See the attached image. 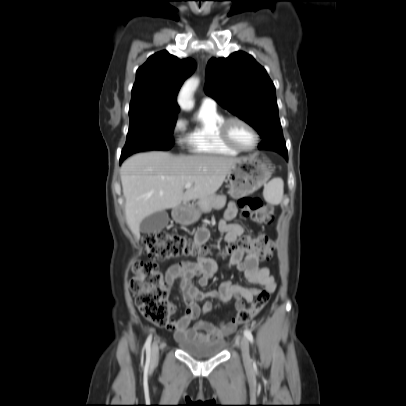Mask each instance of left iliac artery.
Instances as JSON below:
<instances>
[{
  "mask_svg": "<svg viewBox=\"0 0 406 406\" xmlns=\"http://www.w3.org/2000/svg\"><path fill=\"white\" fill-rule=\"evenodd\" d=\"M244 335L253 344L254 339H253V335H252L251 331L248 330V329H245L244 330Z\"/></svg>",
  "mask_w": 406,
  "mask_h": 406,
  "instance_id": "44dca946",
  "label": "left iliac artery"
}]
</instances>
